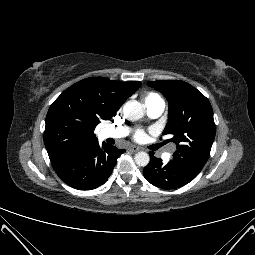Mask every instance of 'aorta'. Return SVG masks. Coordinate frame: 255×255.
Segmentation results:
<instances>
[{"instance_id":"obj_1","label":"aorta","mask_w":255,"mask_h":255,"mask_svg":"<svg viewBox=\"0 0 255 255\" xmlns=\"http://www.w3.org/2000/svg\"><path fill=\"white\" fill-rule=\"evenodd\" d=\"M123 113L128 120L137 121L144 116L145 110L141 103L131 100L124 105ZM134 160L138 166L145 167L149 164L150 157L148 153L140 151L135 154Z\"/></svg>"}]
</instances>
